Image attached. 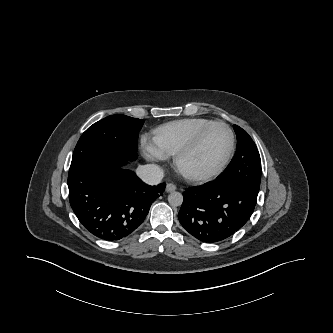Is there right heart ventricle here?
Returning <instances> with one entry per match:
<instances>
[{
  "label": "right heart ventricle",
  "mask_w": 333,
  "mask_h": 333,
  "mask_svg": "<svg viewBox=\"0 0 333 333\" xmlns=\"http://www.w3.org/2000/svg\"><path fill=\"white\" fill-rule=\"evenodd\" d=\"M214 122L203 117H194L168 122L154 130L153 141L165 156L177 154L207 125Z\"/></svg>",
  "instance_id": "e07e8e85"
}]
</instances>
